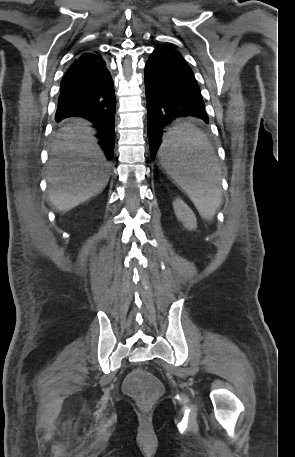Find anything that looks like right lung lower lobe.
<instances>
[{
	"label": "right lung lower lobe",
	"instance_id": "right-lung-lower-lobe-1",
	"mask_svg": "<svg viewBox=\"0 0 295 457\" xmlns=\"http://www.w3.org/2000/svg\"><path fill=\"white\" fill-rule=\"evenodd\" d=\"M113 80L99 52L83 53L69 66L62 80L55 120L80 116L99 130V144L111 160L115 140Z\"/></svg>",
	"mask_w": 295,
	"mask_h": 457
}]
</instances>
